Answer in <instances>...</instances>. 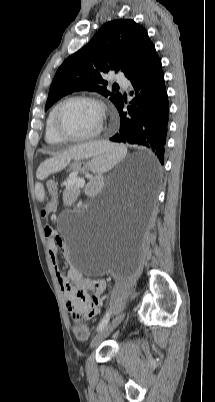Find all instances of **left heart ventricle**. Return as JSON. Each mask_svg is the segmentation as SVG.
<instances>
[{
  "label": "left heart ventricle",
  "instance_id": "obj_1",
  "mask_svg": "<svg viewBox=\"0 0 215 402\" xmlns=\"http://www.w3.org/2000/svg\"><path fill=\"white\" fill-rule=\"evenodd\" d=\"M103 120L100 108L87 101H72L60 111L59 122L62 129L76 136L95 132Z\"/></svg>",
  "mask_w": 215,
  "mask_h": 402
}]
</instances>
